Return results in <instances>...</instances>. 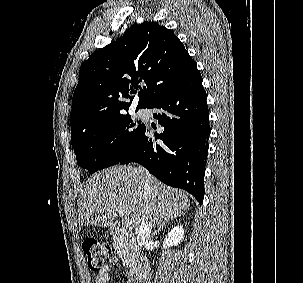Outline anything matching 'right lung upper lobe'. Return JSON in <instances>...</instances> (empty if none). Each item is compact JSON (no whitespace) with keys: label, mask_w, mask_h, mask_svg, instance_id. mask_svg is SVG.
Listing matches in <instances>:
<instances>
[{"label":"right lung upper lobe","mask_w":303,"mask_h":283,"mask_svg":"<svg viewBox=\"0 0 303 283\" xmlns=\"http://www.w3.org/2000/svg\"><path fill=\"white\" fill-rule=\"evenodd\" d=\"M198 73L196 62L172 30L148 21L133 26L82 64L72 98V134L123 116L137 93L136 110L147 108ZM141 82L146 83L143 89L138 86Z\"/></svg>","instance_id":"1"}]
</instances>
